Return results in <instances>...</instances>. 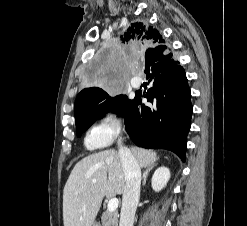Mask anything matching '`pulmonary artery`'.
<instances>
[{
    "instance_id": "1",
    "label": "pulmonary artery",
    "mask_w": 247,
    "mask_h": 226,
    "mask_svg": "<svg viewBox=\"0 0 247 226\" xmlns=\"http://www.w3.org/2000/svg\"><path fill=\"white\" fill-rule=\"evenodd\" d=\"M133 87H137L139 84L138 83H132Z\"/></svg>"
}]
</instances>
